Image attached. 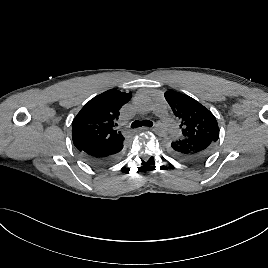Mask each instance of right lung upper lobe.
Segmentation results:
<instances>
[{
	"instance_id": "cb5924a9",
	"label": "right lung upper lobe",
	"mask_w": 268,
	"mask_h": 268,
	"mask_svg": "<svg viewBox=\"0 0 268 268\" xmlns=\"http://www.w3.org/2000/svg\"><path fill=\"white\" fill-rule=\"evenodd\" d=\"M132 97L131 93L108 90L97 95L77 114L72 123V139L78 150L94 146L118 144L124 140L115 130L120 108Z\"/></svg>"
}]
</instances>
